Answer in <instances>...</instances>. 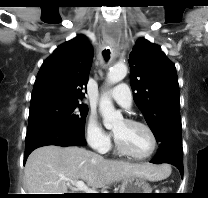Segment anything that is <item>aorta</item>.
Here are the masks:
<instances>
[{
  "mask_svg": "<svg viewBox=\"0 0 208 198\" xmlns=\"http://www.w3.org/2000/svg\"><path fill=\"white\" fill-rule=\"evenodd\" d=\"M126 75L127 66L123 63L115 64L107 74V83L109 85L116 84L123 80ZM99 110L106 128H112L123 119L122 114L114 108L112 101L108 97H102L100 99Z\"/></svg>",
  "mask_w": 208,
  "mask_h": 198,
  "instance_id": "1",
  "label": "aorta"
}]
</instances>
